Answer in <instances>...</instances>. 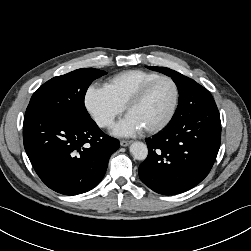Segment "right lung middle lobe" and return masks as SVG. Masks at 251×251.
Segmentation results:
<instances>
[{
  "mask_svg": "<svg viewBox=\"0 0 251 251\" xmlns=\"http://www.w3.org/2000/svg\"><path fill=\"white\" fill-rule=\"evenodd\" d=\"M105 74L102 70L82 68L54 77L32 95L27 108L47 110L77 123L91 122L84 97L92 81Z\"/></svg>",
  "mask_w": 251,
  "mask_h": 251,
  "instance_id": "obj_1",
  "label": "right lung middle lobe"
}]
</instances>
